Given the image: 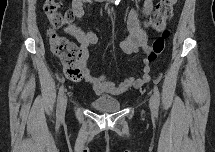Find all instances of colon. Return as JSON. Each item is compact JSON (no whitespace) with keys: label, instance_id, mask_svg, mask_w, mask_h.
Returning <instances> with one entry per match:
<instances>
[{"label":"colon","instance_id":"1","mask_svg":"<svg viewBox=\"0 0 215 152\" xmlns=\"http://www.w3.org/2000/svg\"><path fill=\"white\" fill-rule=\"evenodd\" d=\"M59 1L48 0L44 4V12L49 19L51 28L49 30L51 51L60 58L65 75L74 81L80 80L83 75V52L74 43L56 33L57 29L74 22L73 11L61 12ZM175 0H161L157 3L156 9L150 16L148 24L154 29L162 30L161 36L156 38L147 53L144 66L141 72L145 73L149 69V64L153 63L160 56L165 48L168 38V30L165 29L167 20L173 15Z\"/></svg>","mask_w":215,"mask_h":152}]
</instances>
